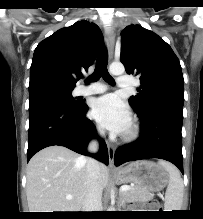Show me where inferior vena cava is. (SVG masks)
Masks as SVG:
<instances>
[{
	"instance_id": "602c4592",
	"label": "inferior vena cava",
	"mask_w": 203,
	"mask_h": 219,
	"mask_svg": "<svg viewBox=\"0 0 203 219\" xmlns=\"http://www.w3.org/2000/svg\"><path fill=\"white\" fill-rule=\"evenodd\" d=\"M99 133L103 136L104 130L99 129ZM88 151L93 153L97 152L98 143L96 141L90 142L88 146ZM86 171L88 192L82 206L83 212L100 211L99 209L101 206L102 189L100 188L98 183L99 163L97 162V160L93 158H88Z\"/></svg>"
}]
</instances>
